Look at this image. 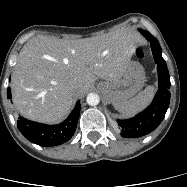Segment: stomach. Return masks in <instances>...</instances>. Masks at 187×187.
<instances>
[{"mask_svg":"<svg viewBox=\"0 0 187 187\" xmlns=\"http://www.w3.org/2000/svg\"><path fill=\"white\" fill-rule=\"evenodd\" d=\"M145 83V72L137 61H130L123 76L116 81H105L98 84L108 103L124 102L133 97Z\"/></svg>","mask_w":187,"mask_h":187,"instance_id":"obj_1","label":"stomach"}]
</instances>
